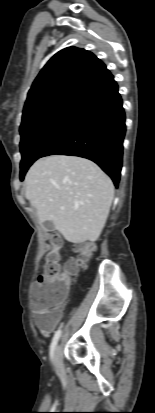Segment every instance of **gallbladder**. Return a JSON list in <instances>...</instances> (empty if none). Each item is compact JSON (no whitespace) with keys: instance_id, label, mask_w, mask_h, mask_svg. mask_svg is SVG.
Instances as JSON below:
<instances>
[{"instance_id":"obj_1","label":"gallbladder","mask_w":155,"mask_h":413,"mask_svg":"<svg viewBox=\"0 0 155 413\" xmlns=\"http://www.w3.org/2000/svg\"><path fill=\"white\" fill-rule=\"evenodd\" d=\"M45 227H46L47 229H53V228H54V224H53L52 222H46V223H45Z\"/></svg>"}]
</instances>
